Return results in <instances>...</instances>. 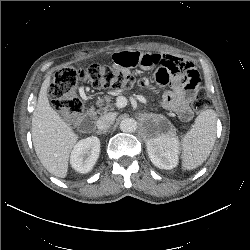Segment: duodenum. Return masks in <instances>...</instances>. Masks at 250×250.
Returning <instances> with one entry per match:
<instances>
[{
  "label": "duodenum",
  "mask_w": 250,
  "mask_h": 250,
  "mask_svg": "<svg viewBox=\"0 0 250 250\" xmlns=\"http://www.w3.org/2000/svg\"><path fill=\"white\" fill-rule=\"evenodd\" d=\"M94 119H95V111L89 110L82 119L81 124L85 129L89 130L92 128L94 124Z\"/></svg>",
  "instance_id": "410a0bca"
}]
</instances>
